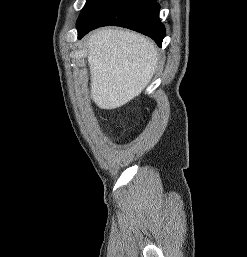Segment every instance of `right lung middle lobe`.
I'll list each match as a JSON object with an SVG mask.
<instances>
[{
  "label": "right lung middle lobe",
  "mask_w": 247,
  "mask_h": 257,
  "mask_svg": "<svg viewBox=\"0 0 247 257\" xmlns=\"http://www.w3.org/2000/svg\"><path fill=\"white\" fill-rule=\"evenodd\" d=\"M96 0H87L84 8L82 9L80 15H79V18H78V21L79 22L84 16L85 14L87 13V11L89 10V8L91 7V5L95 2Z\"/></svg>",
  "instance_id": "right-lung-middle-lobe-1"
}]
</instances>
